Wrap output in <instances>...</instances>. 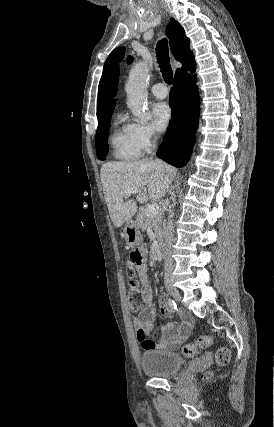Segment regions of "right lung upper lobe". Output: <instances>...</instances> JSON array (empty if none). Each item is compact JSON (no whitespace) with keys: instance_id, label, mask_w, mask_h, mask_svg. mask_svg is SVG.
Wrapping results in <instances>:
<instances>
[{"instance_id":"1","label":"right lung upper lobe","mask_w":274,"mask_h":427,"mask_svg":"<svg viewBox=\"0 0 274 427\" xmlns=\"http://www.w3.org/2000/svg\"><path fill=\"white\" fill-rule=\"evenodd\" d=\"M166 32L169 37V44L175 59L179 60L183 65L182 68L177 70L176 74H178L185 68L195 63L193 53L190 51V41L186 37L184 29L173 18L170 19V24L167 26ZM124 51V47H118L114 49L105 62L103 74L99 82L97 104L98 112L115 106L114 101L110 100L107 94L108 84L115 65L122 59ZM132 60L133 58L131 56L127 58L128 63H130Z\"/></svg>"}]
</instances>
